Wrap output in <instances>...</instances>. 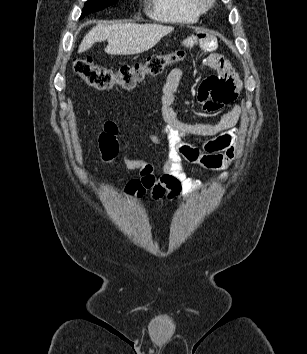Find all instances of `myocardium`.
I'll use <instances>...</instances> for the list:
<instances>
[{"instance_id":"1","label":"myocardium","mask_w":307,"mask_h":354,"mask_svg":"<svg viewBox=\"0 0 307 354\" xmlns=\"http://www.w3.org/2000/svg\"><path fill=\"white\" fill-rule=\"evenodd\" d=\"M213 1L214 0H195L200 13L208 11L213 5Z\"/></svg>"}]
</instances>
